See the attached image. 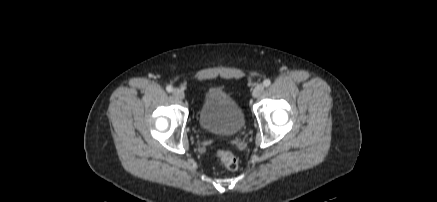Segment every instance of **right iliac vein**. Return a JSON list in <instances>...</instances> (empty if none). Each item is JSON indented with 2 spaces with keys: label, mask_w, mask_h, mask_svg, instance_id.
<instances>
[{
  "label": "right iliac vein",
  "mask_w": 437,
  "mask_h": 202,
  "mask_svg": "<svg viewBox=\"0 0 437 202\" xmlns=\"http://www.w3.org/2000/svg\"><path fill=\"white\" fill-rule=\"evenodd\" d=\"M173 95L175 96V98L180 99V100L184 99V97H185L184 91L181 89H178V88L173 90Z\"/></svg>",
  "instance_id": "63e3f726"
}]
</instances>
